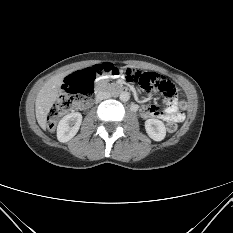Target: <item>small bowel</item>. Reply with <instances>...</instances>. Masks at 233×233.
Instances as JSON below:
<instances>
[{
    "instance_id": "1",
    "label": "small bowel",
    "mask_w": 233,
    "mask_h": 233,
    "mask_svg": "<svg viewBox=\"0 0 233 233\" xmlns=\"http://www.w3.org/2000/svg\"><path fill=\"white\" fill-rule=\"evenodd\" d=\"M167 96L170 97L171 100L162 108L150 106L144 103L140 107L141 117L143 119L159 118L167 123H177L182 121L184 116L179 111L178 105L176 103V89L172 94Z\"/></svg>"
}]
</instances>
